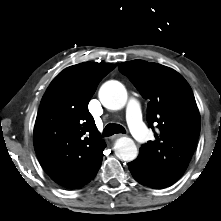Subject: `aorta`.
<instances>
[{
	"instance_id": "762f6f07",
	"label": "aorta",
	"mask_w": 221,
	"mask_h": 221,
	"mask_svg": "<svg viewBox=\"0 0 221 221\" xmlns=\"http://www.w3.org/2000/svg\"><path fill=\"white\" fill-rule=\"evenodd\" d=\"M99 100L110 110H120L127 102V91L122 83L116 80L105 82L99 89ZM115 155L122 161H133L138 156V149L131 138L121 137L114 146Z\"/></svg>"
}]
</instances>
